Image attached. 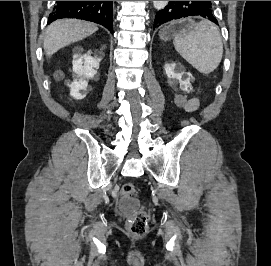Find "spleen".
Returning a JSON list of instances; mask_svg holds the SVG:
<instances>
[{
    "label": "spleen",
    "instance_id": "1",
    "mask_svg": "<svg viewBox=\"0 0 271 266\" xmlns=\"http://www.w3.org/2000/svg\"><path fill=\"white\" fill-rule=\"evenodd\" d=\"M173 44L176 51L204 75L213 72L223 56L220 32L217 26L207 20L182 29L174 37Z\"/></svg>",
    "mask_w": 271,
    "mask_h": 266
}]
</instances>
